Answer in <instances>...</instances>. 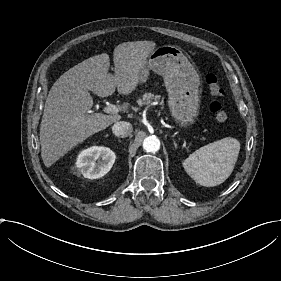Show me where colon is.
<instances>
[{
  "instance_id": "obj_1",
  "label": "colon",
  "mask_w": 281,
  "mask_h": 281,
  "mask_svg": "<svg viewBox=\"0 0 281 281\" xmlns=\"http://www.w3.org/2000/svg\"><path fill=\"white\" fill-rule=\"evenodd\" d=\"M204 83L212 98L210 109L213 120L218 125H225L229 120V115L223 102L224 87L219 77L209 67L204 69Z\"/></svg>"
}]
</instances>
